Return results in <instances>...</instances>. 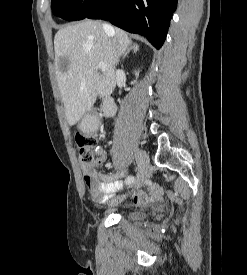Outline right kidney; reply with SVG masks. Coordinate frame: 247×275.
Here are the masks:
<instances>
[{
  "label": "right kidney",
  "instance_id": "obj_1",
  "mask_svg": "<svg viewBox=\"0 0 247 275\" xmlns=\"http://www.w3.org/2000/svg\"><path fill=\"white\" fill-rule=\"evenodd\" d=\"M135 75H136V77H138L139 73L136 72Z\"/></svg>",
  "mask_w": 247,
  "mask_h": 275
}]
</instances>
